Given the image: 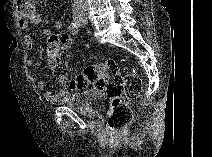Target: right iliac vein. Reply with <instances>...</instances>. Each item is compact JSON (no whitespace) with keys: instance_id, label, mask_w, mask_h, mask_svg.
Segmentation results:
<instances>
[{"instance_id":"right-iliac-vein-1","label":"right iliac vein","mask_w":212,"mask_h":157,"mask_svg":"<svg viewBox=\"0 0 212 157\" xmlns=\"http://www.w3.org/2000/svg\"><path fill=\"white\" fill-rule=\"evenodd\" d=\"M84 19V17L82 15H78L77 20L78 22L82 21Z\"/></svg>"}]
</instances>
